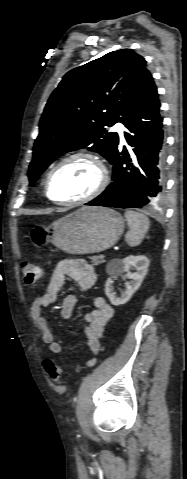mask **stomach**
I'll return each mask as SVG.
<instances>
[{
	"label": "stomach",
	"instance_id": "stomach-1",
	"mask_svg": "<svg viewBox=\"0 0 187 479\" xmlns=\"http://www.w3.org/2000/svg\"><path fill=\"white\" fill-rule=\"evenodd\" d=\"M124 230V219L113 209L82 207L51 225H35L31 240L37 247L51 242L70 254H89L113 246Z\"/></svg>",
	"mask_w": 187,
	"mask_h": 479
}]
</instances>
